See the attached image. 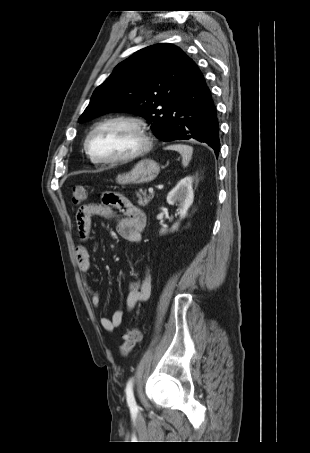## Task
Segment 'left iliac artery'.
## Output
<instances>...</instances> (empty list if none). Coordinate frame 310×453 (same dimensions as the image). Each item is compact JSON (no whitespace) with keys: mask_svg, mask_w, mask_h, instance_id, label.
<instances>
[{"mask_svg":"<svg viewBox=\"0 0 310 453\" xmlns=\"http://www.w3.org/2000/svg\"><path fill=\"white\" fill-rule=\"evenodd\" d=\"M126 399L131 411H137L138 407L133 394V379H130L126 386Z\"/></svg>","mask_w":310,"mask_h":453,"instance_id":"left-iliac-artery-1","label":"left iliac artery"}]
</instances>
